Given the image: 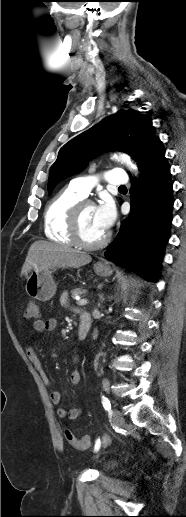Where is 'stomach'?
<instances>
[{
  "label": "stomach",
  "instance_id": "stomach-1",
  "mask_svg": "<svg viewBox=\"0 0 186 517\" xmlns=\"http://www.w3.org/2000/svg\"><path fill=\"white\" fill-rule=\"evenodd\" d=\"M94 271L98 276L107 277L112 274V270L109 265L99 262L94 265ZM53 269H47L43 271L33 270L27 277L26 281V292L27 294L39 301H48L56 293L57 285L54 282Z\"/></svg>",
  "mask_w": 186,
  "mask_h": 517
}]
</instances>
